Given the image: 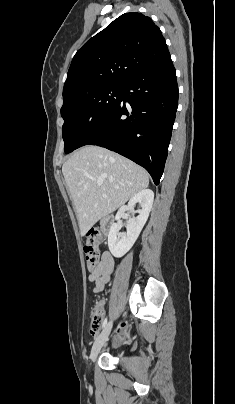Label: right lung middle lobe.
<instances>
[{
    "instance_id": "dd1d6c3e",
    "label": "right lung middle lobe",
    "mask_w": 235,
    "mask_h": 404,
    "mask_svg": "<svg viewBox=\"0 0 235 404\" xmlns=\"http://www.w3.org/2000/svg\"><path fill=\"white\" fill-rule=\"evenodd\" d=\"M123 85H109L80 95L61 108L64 119L62 136L65 153L77 149L85 136L95 128L122 99Z\"/></svg>"
}]
</instances>
